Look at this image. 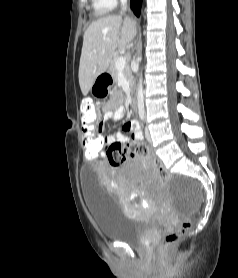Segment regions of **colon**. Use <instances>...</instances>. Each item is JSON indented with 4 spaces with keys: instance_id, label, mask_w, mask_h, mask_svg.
<instances>
[{
    "instance_id": "obj_1",
    "label": "colon",
    "mask_w": 238,
    "mask_h": 278,
    "mask_svg": "<svg viewBox=\"0 0 238 278\" xmlns=\"http://www.w3.org/2000/svg\"><path fill=\"white\" fill-rule=\"evenodd\" d=\"M80 130L84 136V159L88 162H95L100 159L103 153V115L98 110L92 99H85L81 103ZM98 134L94 133L97 131ZM106 155L111 165L116 166L123 163L128 158H138L153 166L162 182L170 180V174L163 166L162 162L155 158L150 149L143 144L136 142L122 146L119 143L110 144L106 148ZM191 227V221L187 217H182L175 228L169 231L162 242V249L167 250L178 243Z\"/></svg>"
}]
</instances>
